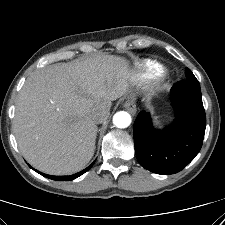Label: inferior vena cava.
I'll return each mask as SVG.
<instances>
[{
  "instance_id": "obj_1",
  "label": "inferior vena cava",
  "mask_w": 225,
  "mask_h": 225,
  "mask_svg": "<svg viewBox=\"0 0 225 225\" xmlns=\"http://www.w3.org/2000/svg\"><path fill=\"white\" fill-rule=\"evenodd\" d=\"M110 114V106H105L93 113L92 119L96 124L103 123Z\"/></svg>"
}]
</instances>
